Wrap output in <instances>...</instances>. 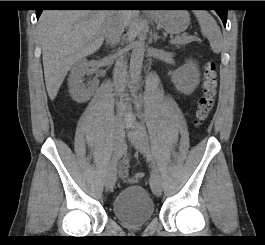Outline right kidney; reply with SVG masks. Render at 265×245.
<instances>
[{
	"label": "right kidney",
	"mask_w": 265,
	"mask_h": 245,
	"mask_svg": "<svg viewBox=\"0 0 265 245\" xmlns=\"http://www.w3.org/2000/svg\"><path fill=\"white\" fill-rule=\"evenodd\" d=\"M90 63L85 60H79L72 68L68 78L69 92L73 100L78 103L88 101L94 94L99 82L96 80L91 86L86 87L83 83V77L85 74H91Z\"/></svg>",
	"instance_id": "right-kidney-1"
}]
</instances>
